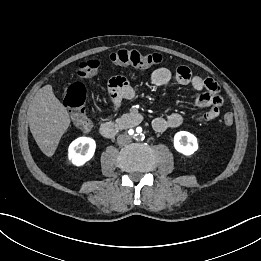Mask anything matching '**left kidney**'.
<instances>
[{"mask_svg":"<svg viewBox=\"0 0 261 261\" xmlns=\"http://www.w3.org/2000/svg\"><path fill=\"white\" fill-rule=\"evenodd\" d=\"M174 147L179 153L190 156L198 149L197 138L187 131L177 132L174 136Z\"/></svg>","mask_w":261,"mask_h":261,"instance_id":"obj_1","label":"left kidney"}]
</instances>
